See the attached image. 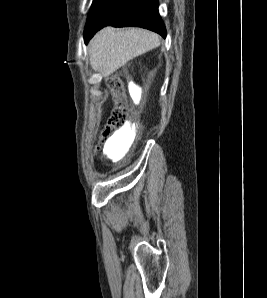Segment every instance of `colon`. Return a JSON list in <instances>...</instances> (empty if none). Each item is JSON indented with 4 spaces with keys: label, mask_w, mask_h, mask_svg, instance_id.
Listing matches in <instances>:
<instances>
[{
    "label": "colon",
    "mask_w": 267,
    "mask_h": 298,
    "mask_svg": "<svg viewBox=\"0 0 267 298\" xmlns=\"http://www.w3.org/2000/svg\"><path fill=\"white\" fill-rule=\"evenodd\" d=\"M112 91L116 97L119 96L121 88H122V81L119 77H114L111 80ZM128 123V117L126 113V108L121 101H117V104L111 114L108 117L105 130L103 133V137H107L113 132L121 129Z\"/></svg>",
    "instance_id": "obj_1"
}]
</instances>
